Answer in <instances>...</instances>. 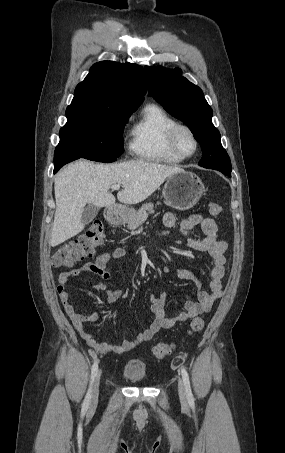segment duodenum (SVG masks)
<instances>
[{
	"mask_svg": "<svg viewBox=\"0 0 285 453\" xmlns=\"http://www.w3.org/2000/svg\"><path fill=\"white\" fill-rule=\"evenodd\" d=\"M119 216V209L115 206L108 207L106 211V218L110 223H115Z\"/></svg>",
	"mask_w": 285,
	"mask_h": 453,
	"instance_id": "duodenum-1",
	"label": "duodenum"
}]
</instances>
